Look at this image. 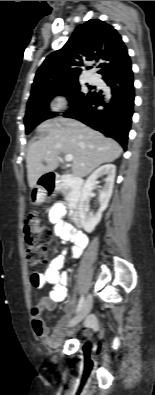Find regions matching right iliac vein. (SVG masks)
<instances>
[{"label":"right iliac vein","instance_id":"1","mask_svg":"<svg viewBox=\"0 0 155 395\" xmlns=\"http://www.w3.org/2000/svg\"><path fill=\"white\" fill-rule=\"evenodd\" d=\"M92 304H93L92 295H88L80 312L70 321L69 326L70 327L75 326L80 321H82L91 311Z\"/></svg>","mask_w":155,"mask_h":395}]
</instances>
